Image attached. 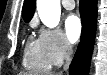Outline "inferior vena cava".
Returning a JSON list of instances; mask_svg holds the SVG:
<instances>
[{
    "instance_id": "obj_1",
    "label": "inferior vena cava",
    "mask_w": 107,
    "mask_h": 75,
    "mask_svg": "<svg viewBox=\"0 0 107 75\" xmlns=\"http://www.w3.org/2000/svg\"><path fill=\"white\" fill-rule=\"evenodd\" d=\"M71 56H72V48L71 45L66 41L64 44V59H65V64L63 66L64 71H68L69 69V65L71 63ZM59 75H62V72H60Z\"/></svg>"
}]
</instances>
